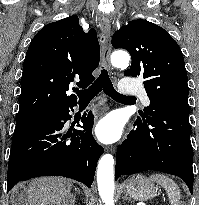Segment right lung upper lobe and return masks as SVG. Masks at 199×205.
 Wrapping results in <instances>:
<instances>
[{"mask_svg": "<svg viewBox=\"0 0 199 205\" xmlns=\"http://www.w3.org/2000/svg\"><path fill=\"white\" fill-rule=\"evenodd\" d=\"M99 60L96 31L90 29L86 34L76 15L43 27L26 53L16 117L57 111L77 102V97L66 91L75 80L80 88L90 85Z\"/></svg>", "mask_w": 199, "mask_h": 205, "instance_id": "obj_1", "label": "right lung upper lobe"}]
</instances>
